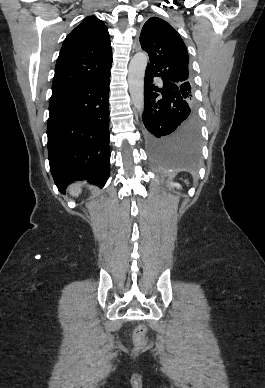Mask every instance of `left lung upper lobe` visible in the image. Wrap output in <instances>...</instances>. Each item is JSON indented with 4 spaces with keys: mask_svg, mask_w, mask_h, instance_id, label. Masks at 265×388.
<instances>
[{
    "mask_svg": "<svg viewBox=\"0 0 265 388\" xmlns=\"http://www.w3.org/2000/svg\"><path fill=\"white\" fill-rule=\"evenodd\" d=\"M140 43L150 58L146 71L178 85L184 101L194 107L188 52L178 32L166 21L152 17L142 28Z\"/></svg>",
    "mask_w": 265,
    "mask_h": 388,
    "instance_id": "obj_1",
    "label": "left lung upper lobe"
}]
</instances>
